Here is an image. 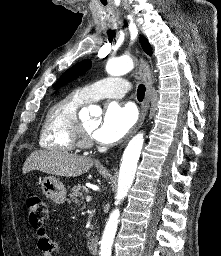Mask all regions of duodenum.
Listing matches in <instances>:
<instances>
[{
  "instance_id": "1",
  "label": "duodenum",
  "mask_w": 221,
  "mask_h": 256,
  "mask_svg": "<svg viewBox=\"0 0 221 256\" xmlns=\"http://www.w3.org/2000/svg\"><path fill=\"white\" fill-rule=\"evenodd\" d=\"M87 247L92 255L96 256L98 254V240L96 238H90Z\"/></svg>"
}]
</instances>
